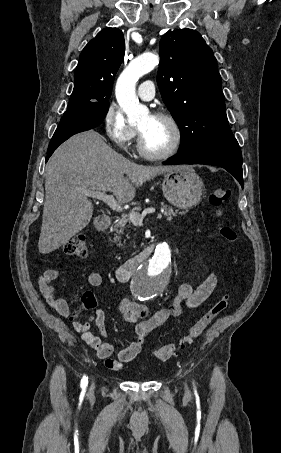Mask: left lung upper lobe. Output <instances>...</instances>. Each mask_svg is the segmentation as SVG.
<instances>
[{
  "label": "left lung upper lobe",
  "mask_w": 281,
  "mask_h": 453,
  "mask_svg": "<svg viewBox=\"0 0 281 453\" xmlns=\"http://www.w3.org/2000/svg\"><path fill=\"white\" fill-rule=\"evenodd\" d=\"M160 59L157 84L181 131L179 153L233 139L217 61L200 33H166Z\"/></svg>",
  "instance_id": "left-lung-upper-lobe-1"
}]
</instances>
